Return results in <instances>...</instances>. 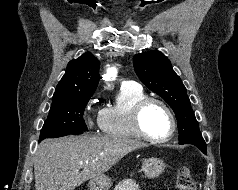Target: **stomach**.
Returning a JSON list of instances; mask_svg holds the SVG:
<instances>
[{
    "instance_id": "stomach-1",
    "label": "stomach",
    "mask_w": 238,
    "mask_h": 190,
    "mask_svg": "<svg viewBox=\"0 0 238 190\" xmlns=\"http://www.w3.org/2000/svg\"><path fill=\"white\" fill-rule=\"evenodd\" d=\"M165 169V163L158 158L145 159L142 164V171L148 178L159 177ZM111 186V179L106 175L93 178L89 182L90 190H108Z\"/></svg>"
}]
</instances>
